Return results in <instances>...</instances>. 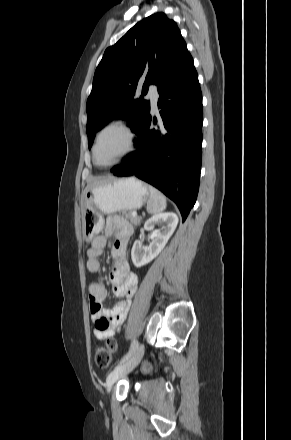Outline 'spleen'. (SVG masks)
<instances>
[{
    "mask_svg": "<svg viewBox=\"0 0 291 440\" xmlns=\"http://www.w3.org/2000/svg\"><path fill=\"white\" fill-rule=\"evenodd\" d=\"M149 190L150 199L147 202V212L150 214H156L163 211L167 206L165 196L152 186L149 187Z\"/></svg>",
    "mask_w": 291,
    "mask_h": 440,
    "instance_id": "1",
    "label": "spleen"
}]
</instances>
